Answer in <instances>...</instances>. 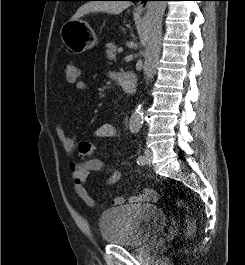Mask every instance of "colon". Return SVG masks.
<instances>
[{
	"label": "colon",
	"instance_id": "colon-1",
	"mask_svg": "<svg viewBox=\"0 0 245 265\" xmlns=\"http://www.w3.org/2000/svg\"><path fill=\"white\" fill-rule=\"evenodd\" d=\"M63 69L65 73V77L68 82L74 83L77 81L79 77L78 67L71 61L65 62L63 64ZM79 155L82 157H91L95 152V145L90 141H82L78 145ZM174 203L179 208H182L188 211V207L185 202L180 198H174ZM195 231V221L191 214H187L186 216V235L187 237H191Z\"/></svg>",
	"mask_w": 245,
	"mask_h": 265
}]
</instances>
